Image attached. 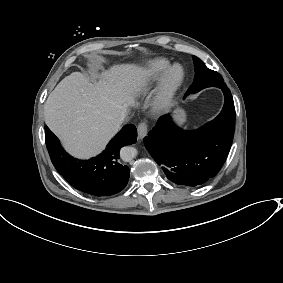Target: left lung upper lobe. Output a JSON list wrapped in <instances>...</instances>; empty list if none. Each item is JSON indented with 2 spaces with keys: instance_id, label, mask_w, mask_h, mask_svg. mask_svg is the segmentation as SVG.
I'll use <instances>...</instances> for the list:
<instances>
[{
  "instance_id": "5c2ea615",
  "label": "left lung upper lobe",
  "mask_w": 283,
  "mask_h": 283,
  "mask_svg": "<svg viewBox=\"0 0 283 283\" xmlns=\"http://www.w3.org/2000/svg\"><path fill=\"white\" fill-rule=\"evenodd\" d=\"M195 67V78L185 95L198 92L206 87L224 86L223 78L218 72L208 69L205 64L196 56H193Z\"/></svg>"
}]
</instances>
